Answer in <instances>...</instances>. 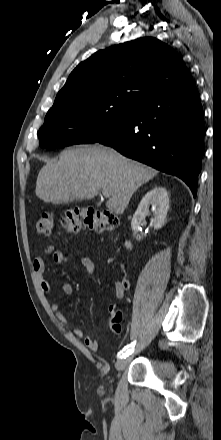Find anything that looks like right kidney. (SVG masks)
Wrapping results in <instances>:
<instances>
[{
    "label": "right kidney",
    "instance_id": "obj_1",
    "mask_svg": "<svg viewBox=\"0 0 221 440\" xmlns=\"http://www.w3.org/2000/svg\"><path fill=\"white\" fill-rule=\"evenodd\" d=\"M152 207L153 217L151 223L155 229H160L164 223L169 209V196L165 188L155 187L145 194L138 208L133 215L131 227L136 235V239L140 240L141 236L137 234L140 223L149 215V206Z\"/></svg>",
    "mask_w": 221,
    "mask_h": 440
}]
</instances>
